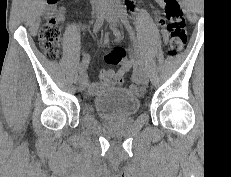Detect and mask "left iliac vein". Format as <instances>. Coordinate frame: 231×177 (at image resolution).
<instances>
[{
    "label": "left iliac vein",
    "instance_id": "4c4485c4",
    "mask_svg": "<svg viewBox=\"0 0 231 177\" xmlns=\"http://www.w3.org/2000/svg\"><path fill=\"white\" fill-rule=\"evenodd\" d=\"M106 21L110 23L112 26H116L119 22V16L116 14V12L113 10V8L110 6L105 14ZM138 79L143 85H146L148 83V75L145 71H141L140 75L138 76Z\"/></svg>",
    "mask_w": 231,
    "mask_h": 177
}]
</instances>
